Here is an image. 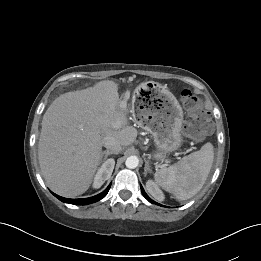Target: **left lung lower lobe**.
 Here are the masks:
<instances>
[{
	"label": "left lung lower lobe",
	"instance_id": "left-lung-lower-lobe-1",
	"mask_svg": "<svg viewBox=\"0 0 261 261\" xmlns=\"http://www.w3.org/2000/svg\"><path fill=\"white\" fill-rule=\"evenodd\" d=\"M140 187H141L142 194L144 195V197H145L149 202L154 203V204H157V205H160V204L156 203L155 201H153V200L146 194V192L144 191V189H143L142 186H140ZM160 206H162V205H160Z\"/></svg>",
	"mask_w": 261,
	"mask_h": 261
}]
</instances>
